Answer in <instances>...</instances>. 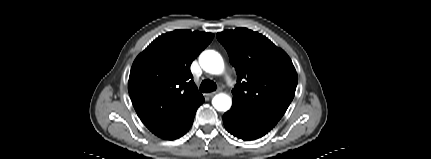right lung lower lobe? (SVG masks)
Returning <instances> with one entry per match:
<instances>
[{"mask_svg":"<svg viewBox=\"0 0 431 159\" xmlns=\"http://www.w3.org/2000/svg\"><path fill=\"white\" fill-rule=\"evenodd\" d=\"M204 102V99H202L193 109L190 111V113L186 116V118L182 121V123L177 127L176 130H174L171 134H169L166 138V140H174L181 136H183L191 127L195 113L198 109V107Z\"/></svg>","mask_w":431,"mask_h":159,"instance_id":"right-lung-lower-lobe-1","label":"right lung lower lobe"}]
</instances>
